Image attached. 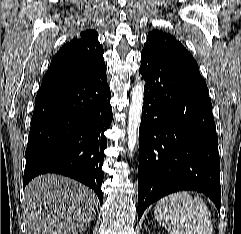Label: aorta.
<instances>
[{"mask_svg": "<svg viewBox=\"0 0 241 234\" xmlns=\"http://www.w3.org/2000/svg\"><path fill=\"white\" fill-rule=\"evenodd\" d=\"M144 98V83L138 79L136 85L131 91V102L128 112V151L129 156L132 157L133 151L137 146L138 133L141 123V115Z\"/></svg>", "mask_w": 241, "mask_h": 234, "instance_id": "762f6f07", "label": "aorta"}]
</instances>
